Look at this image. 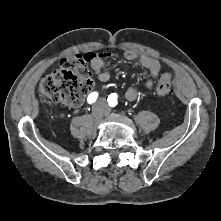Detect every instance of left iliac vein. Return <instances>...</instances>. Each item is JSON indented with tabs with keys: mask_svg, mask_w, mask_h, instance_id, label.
Returning <instances> with one entry per match:
<instances>
[{
	"mask_svg": "<svg viewBox=\"0 0 221 221\" xmlns=\"http://www.w3.org/2000/svg\"><path fill=\"white\" fill-rule=\"evenodd\" d=\"M108 114H109V112L107 111V112H106V115H108Z\"/></svg>",
	"mask_w": 221,
	"mask_h": 221,
	"instance_id": "left-iliac-vein-1",
	"label": "left iliac vein"
}]
</instances>
